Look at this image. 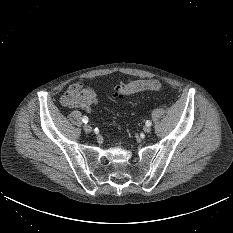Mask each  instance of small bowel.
<instances>
[{
  "instance_id": "small-bowel-1",
  "label": "small bowel",
  "mask_w": 233,
  "mask_h": 233,
  "mask_svg": "<svg viewBox=\"0 0 233 233\" xmlns=\"http://www.w3.org/2000/svg\"><path fill=\"white\" fill-rule=\"evenodd\" d=\"M98 103L97 92L94 88L86 86L83 82L72 83L61 96V104L69 109L81 108L91 112Z\"/></svg>"
}]
</instances>
